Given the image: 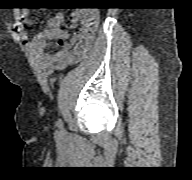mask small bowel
Here are the masks:
<instances>
[{
    "label": "small bowel",
    "mask_w": 192,
    "mask_h": 180,
    "mask_svg": "<svg viewBox=\"0 0 192 180\" xmlns=\"http://www.w3.org/2000/svg\"><path fill=\"white\" fill-rule=\"evenodd\" d=\"M28 11L23 10L21 17L28 23ZM71 20L78 22L75 34L70 37L62 29L65 21L63 13H57L48 24V27L38 33L30 43L32 52L42 55L48 72L54 68H63L80 61L91 49L99 24V14L95 10H76L71 13ZM26 38V35L23 36ZM56 40L59 49L52 54H44L47 42Z\"/></svg>",
    "instance_id": "small-bowel-1"
}]
</instances>
